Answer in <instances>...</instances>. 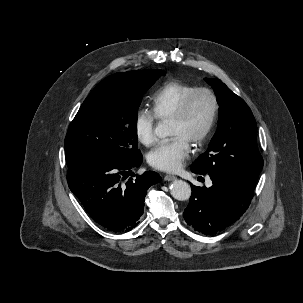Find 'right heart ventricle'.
<instances>
[{"mask_svg":"<svg viewBox=\"0 0 303 303\" xmlns=\"http://www.w3.org/2000/svg\"><path fill=\"white\" fill-rule=\"evenodd\" d=\"M194 89H196L195 86L181 81L165 83L152 98L153 116L161 121L170 120L184 98Z\"/></svg>","mask_w":303,"mask_h":303,"instance_id":"right-heart-ventricle-1","label":"right heart ventricle"}]
</instances>
